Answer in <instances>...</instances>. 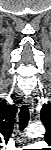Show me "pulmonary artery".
I'll list each match as a JSON object with an SVG mask.
<instances>
[{"label":"pulmonary artery","instance_id":"obj_1","mask_svg":"<svg viewBox=\"0 0 51 150\" xmlns=\"http://www.w3.org/2000/svg\"><path fill=\"white\" fill-rule=\"evenodd\" d=\"M46 144L44 142H36L32 145L26 146L28 149L30 148H42L44 147ZM17 150H22V149H17Z\"/></svg>","mask_w":51,"mask_h":150}]
</instances>
